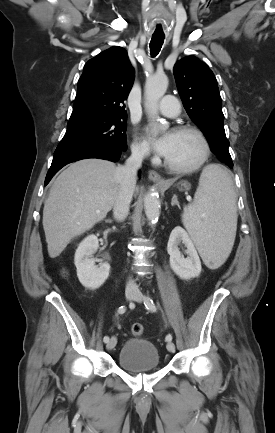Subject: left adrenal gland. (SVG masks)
<instances>
[{
  "mask_svg": "<svg viewBox=\"0 0 275 433\" xmlns=\"http://www.w3.org/2000/svg\"><path fill=\"white\" fill-rule=\"evenodd\" d=\"M171 205H172V206L177 205L178 207H180V206H179L178 199H177V196H176L175 194H174L173 197H172Z\"/></svg>",
  "mask_w": 275,
  "mask_h": 433,
  "instance_id": "left-adrenal-gland-1",
  "label": "left adrenal gland"
}]
</instances>
